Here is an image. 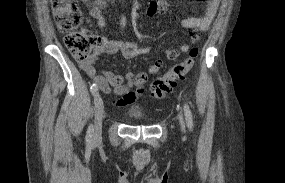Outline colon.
Masks as SVG:
<instances>
[{"label": "colon", "instance_id": "colon-1", "mask_svg": "<svg viewBox=\"0 0 285 183\" xmlns=\"http://www.w3.org/2000/svg\"><path fill=\"white\" fill-rule=\"evenodd\" d=\"M51 10L56 27L66 33L64 43L68 51L77 60H88L100 45L101 38L92 30L81 28L83 15L75 1L51 0ZM197 55L198 50L191 48L186 59L152 82L150 94L157 99L166 97L192 69Z\"/></svg>", "mask_w": 285, "mask_h": 183}]
</instances>
